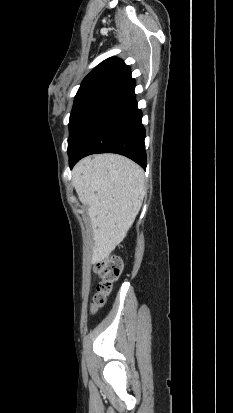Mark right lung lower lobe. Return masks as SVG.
Here are the masks:
<instances>
[{
	"mask_svg": "<svg viewBox=\"0 0 233 413\" xmlns=\"http://www.w3.org/2000/svg\"><path fill=\"white\" fill-rule=\"evenodd\" d=\"M134 88L131 72L115 81L69 152L70 168L87 155L109 152L124 155L146 168L145 129Z\"/></svg>",
	"mask_w": 233,
	"mask_h": 413,
	"instance_id": "right-lung-lower-lobe-1",
	"label": "right lung lower lobe"
}]
</instances>
